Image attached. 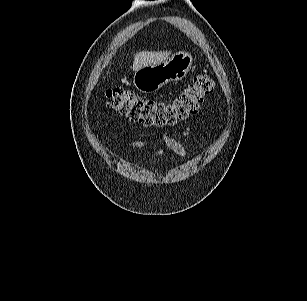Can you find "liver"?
I'll return each instance as SVG.
<instances>
[{
  "label": "liver",
  "mask_w": 307,
  "mask_h": 301,
  "mask_svg": "<svg viewBox=\"0 0 307 301\" xmlns=\"http://www.w3.org/2000/svg\"><path fill=\"white\" fill-rule=\"evenodd\" d=\"M171 52H148L142 51L134 56L133 70L137 71L148 65H156L168 59Z\"/></svg>",
  "instance_id": "liver-1"
}]
</instances>
